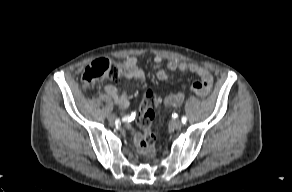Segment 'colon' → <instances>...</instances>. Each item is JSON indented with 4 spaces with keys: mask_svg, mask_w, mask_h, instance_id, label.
Here are the masks:
<instances>
[{
    "mask_svg": "<svg viewBox=\"0 0 292 192\" xmlns=\"http://www.w3.org/2000/svg\"><path fill=\"white\" fill-rule=\"evenodd\" d=\"M127 72L123 65L112 62L107 58H101L90 63L84 70L82 82L84 87H92L103 80H118L126 77ZM159 100L152 90L144 93L138 113V122L145 130L140 148L143 156L150 158L154 155V135L149 132V127L154 119V109Z\"/></svg>",
    "mask_w": 292,
    "mask_h": 192,
    "instance_id": "colon-1",
    "label": "colon"
}]
</instances>
